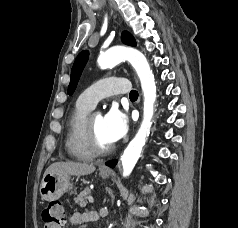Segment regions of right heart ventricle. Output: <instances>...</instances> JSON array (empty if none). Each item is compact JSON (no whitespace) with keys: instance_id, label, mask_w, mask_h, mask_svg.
Segmentation results:
<instances>
[{"instance_id":"e07e8e85","label":"right heart ventricle","mask_w":238,"mask_h":228,"mask_svg":"<svg viewBox=\"0 0 238 228\" xmlns=\"http://www.w3.org/2000/svg\"><path fill=\"white\" fill-rule=\"evenodd\" d=\"M91 109L78 98L67 119L65 147L68 154L78 160L94 157L86 140V122Z\"/></svg>"}]
</instances>
